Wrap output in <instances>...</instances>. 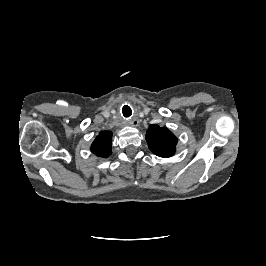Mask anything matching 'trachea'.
Masks as SVG:
<instances>
[{
    "instance_id": "1",
    "label": "trachea",
    "mask_w": 266,
    "mask_h": 266,
    "mask_svg": "<svg viewBox=\"0 0 266 266\" xmlns=\"http://www.w3.org/2000/svg\"><path fill=\"white\" fill-rule=\"evenodd\" d=\"M122 113L124 117H130L132 115V110L128 105L123 106Z\"/></svg>"
}]
</instances>
